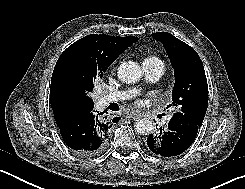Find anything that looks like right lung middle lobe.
I'll list each match as a JSON object with an SVG mask.
<instances>
[{"label":"right lung middle lobe","mask_w":245,"mask_h":189,"mask_svg":"<svg viewBox=\"0 0 245 189\" xmlns=\"http://www.w3.org/2000/svg\"><path fill=\"white\" fill-rule=\"evenodd\" d=\"M105 70H89L83 73L76 74L71 82V90L82 103H92L88 96L93 90V83L96 79L102 78Z\"/></svg>","instance_id":"obj_1"}]
</instances>
